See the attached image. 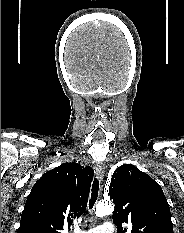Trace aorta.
<instances>
[{
    "label": "aorta",
    "instance_id": "obj_1",
    "mask_svg": "<svg viewBox=\"0 0 184 233\" xmlns=\"http://www.w3.org/2000/svg\"><path fill=\"white\" fill-rule=\"evenodd\" d=\"M114 206L111 202L100 201L96 206L95 214L97 217H103L113 212Z\"/></svg>",
    "mask_w": 184,
    "mask_h": 233
}]
</instances>
